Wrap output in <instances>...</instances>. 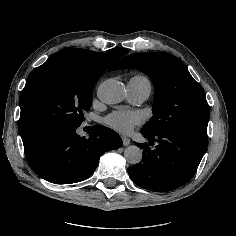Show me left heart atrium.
Returning a JSON list of instances; mask_svg holds the SVG:
<instances>
[{"label":"left heart atrium","instance_id":"left-heart-atrium-1","mask_svg":"<svg viewBox=\"0 0 236 236\" xmlns=\"http://www.w3.org/2000/svg\"><path fill=\"white\" fill-rule=\"evenodd\" d=\"M140 121V115L130 111H116L105 118L110 127L123 134H130Z\"/></svg>","mask_w":236,"mask_h":236}]
</instances>
